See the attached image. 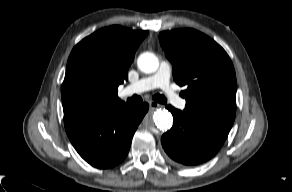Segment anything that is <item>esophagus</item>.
<instances>
[{"mask_svg": "<svg viewBox=\"0 0 292 192\" xmlns=\"http://www.w3.org/2000/svg\"><path fill=\"white\" fill-rule=\"evenodd\" d=\"M149 106H150V109L154 110V109H157L160 107V104L155 102V101H150L149 102Z\"/></svg>", "mask_w": 292, "mask_h": 192, "instance_id": "obj_1", "label": "esophagus"}]
</instances>
